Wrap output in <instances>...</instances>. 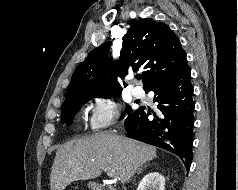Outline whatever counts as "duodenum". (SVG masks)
I'll list each match as a JSON object with an SVG mask.
<instances>
[{"label":"duodenum","instance_id":"obj_1","mask_svg":"<svg viewBox=\"0 0 238 190\" xmlns=\"http://www.w3.org/2000/svg\"><path fill=\"white\" fill-rule=\"evenodd\" d=\"M99 190H114V189L108 185H101L99 187Z\"/></svg>","mask_w":238,"mask_h":190}]
</instances>
